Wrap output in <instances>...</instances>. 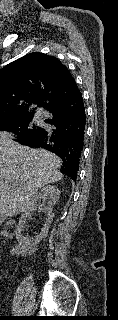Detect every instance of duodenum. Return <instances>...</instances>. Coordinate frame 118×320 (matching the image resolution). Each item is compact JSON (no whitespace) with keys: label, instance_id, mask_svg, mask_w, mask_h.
<instances>
[{"label":"duodenum","instance_id":"duodenum-1","mask_svg":"<svg viewBox=\"0 0 118 320\" xmlns=\"http://www.w3.org/2000/svg\"><path fill=\"white\" fill-rule=\"evenodd\" d=\"M4 234L7 236V237H10V234L6 231L4 232Z\"/></svg>","mask_w":118,"mask_h":320}]
</instances>
